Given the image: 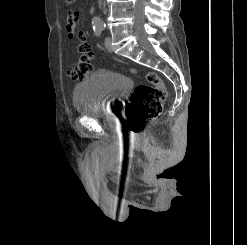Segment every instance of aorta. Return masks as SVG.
<instances>
[{
	"label": "aorta",
	"mask_w": 247,
	"mask_h": 245,
	"mask_svg": "<svg viewBox=\"0 0 247 245\" xmlns=\"http://www.w3.org/2000/svg\"><path fill=\"white\" fill-rule=\"evenodd\" d=\"M92 24H93V25L102 24L101 18H99V17H97V16L93 17V18H92Z\"/></svg>",
	"instance_id": "1"
}]
</instances>
